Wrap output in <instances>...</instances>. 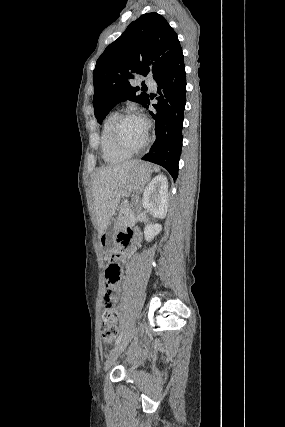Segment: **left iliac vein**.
Masks as SVG:
<instances>
[{
    "label": "left iliac vein",
    "instance_id": "4c4485c4",
    "mask_svg": "<svg viewBox=\"0 0 285 427\" xmlns=\"http://www.w3.org/2000/svg\"><path fill=\"white\" fill-rule=\"evenodd\" d=\"M136 333V326L133 325L130 329V333L126 338H124L119 344H117L114 349L110 352L107 361L104 365V370L108 371L112 364L117 360L120 354L125 350L129 342L131 341L133 335Z\"/></svg>",
    "mask_w": 285,
    "mask_h": 427
}]
</instances>
